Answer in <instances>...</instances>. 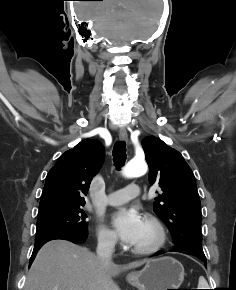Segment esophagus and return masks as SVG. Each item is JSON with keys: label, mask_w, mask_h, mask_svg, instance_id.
Wrapping results in <instances>:
<instances>
[{"label": "esophagus", "mask_w": 236, "mask_h": 290, "mask_svg": "<svg viewBox=\"0 0 236 290\" xmlns=\"http://www.w3.org/2000/svg\"><path fill=\"white\" fill-rule=\"evenodd\" d=\"M119 139L121 141H127L128 140V134L125 128H121L119 130Z\"/></svg>", "instance_id": "34e87169"}]
</instances>
